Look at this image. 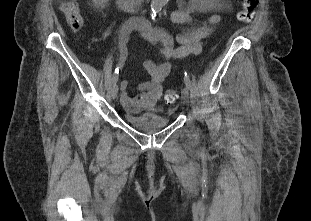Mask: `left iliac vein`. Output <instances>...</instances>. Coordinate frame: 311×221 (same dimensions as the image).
I'll use <instances>...</instances> for the list:
<instances>
[{
    "mask_svg": "<svg viewBox=\"0 0 311 221\" xmlns=\"http://www.w3.org/2000/svg\"><path fill=\"white\" fill-rule=\"evenodd\" d=\"M182 99L184 101V103L188 104L190 101V92L187 88H184L182 90Z\"/></svg>",
    "mask_w": 311,
    "mask_h": 221,
    "instance_id": "obj_1",
    "label": "left iliac vein"
}]
</instances>
